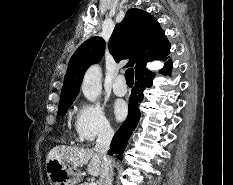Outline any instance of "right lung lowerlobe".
I'll list each match as a JSON object with an SVG mask.
<instances>
[{
    "label": "right lung lower lobe",
    "mask_w": 233,
    "mask_h": 185,
    "mask_svg": "<svg viewBox=\"0 0 233 185\" xmlns=\"http://www.w3.org/2000/svg\"><path fill=\"white\" fill-rule=\"evenodd\" d=\"M171 69L172 62L168 61L165 63V66L161 70V72L163 74H168L171 72ZM135 75L136 82L135 87L133 88L131 96L129 98L128 117L115 133L111 142V148L108 151L110 155L119 154V159H122L121 154L126 147V142L138 124L140 118V111L138 107L143 100V91L145 88H149L152 86V80L154 78V73L147 70V68L136 73Z\"/></svg>",
    "instance_id": "right-lung-lower-lobe-1"
}]
</instances>
